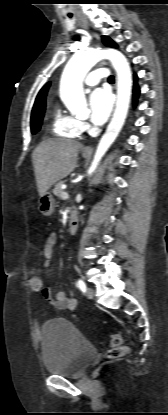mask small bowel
<instances>
[{"instance_id": "obj_1", "label": "small bowel", "mask_w": 168, "mask_h": 415, "mask_svg": "<svg viewBox=\"0 0 168 415\" xmlns=\"http://www.w3.org/2000/svg\"><path fill=\"white\" fill-rule=\"evenodd\" d=\"M56 240H57L56 234L51 233L43 244L42 251H43L44 256L46 257V260L43 263V267L45 269H49L51 267V258L53 255L54 247L56 245ZM41 282H42V278H41ZM41 293L43 297L49 302V304L56 309L72 311V310H75L77 306V300L72 296H68L63 291H59L55 295H53L51 289L43 285V289L41 290Z\"/></svg>"}]
</instances>
